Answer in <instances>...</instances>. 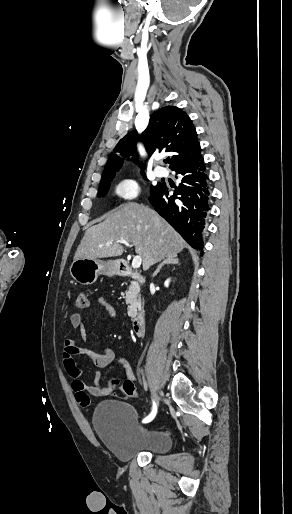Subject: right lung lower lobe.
<instances>
[{
    "instance_id": "right-lung-lower-lobe-1",
    "label": "right lung lower lobe",
    "mask_w": 292,
    "mask_h": 514,
    "mask_svg": "<svg viewBox=\"0 0 292 514\" xmlns=\"http://www.w3.org/2000/svg\"><path fill=\"white\" fill-rule=\"evenodd\" d=\"M181 183L170 189L165 183L150 190L149 201L157 212L195 249H203V231L210 210L209 178L202 155L172 169ZM169 191L173 195L169 196Z\"/></svg>"
}]
</instances>
